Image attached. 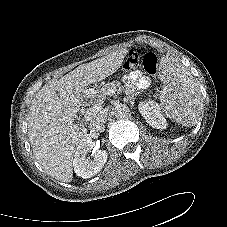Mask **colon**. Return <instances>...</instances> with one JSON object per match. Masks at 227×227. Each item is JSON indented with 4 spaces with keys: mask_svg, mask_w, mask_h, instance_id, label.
I'll use <instances>...</instances> for the list:
<instances>
[{
    "mask_svg": "<svg viewBox=\"0 0 227 227\" xmlns=\"http://www.w3.org/2000/svg\"><path fill=\"white\" fill-rule=\"evenodd\" d=\"M139 66H142L148 74L155 76L158 72L157 56L152 52L143 54L138 49L131 50L125 59L123 68L132 70Z\"/></svg>",
    "mask_w": 227,
    "mask_h": 227,
    "instance_id": "5ec220e1",
    "label": "colon"
}]
</instances>
